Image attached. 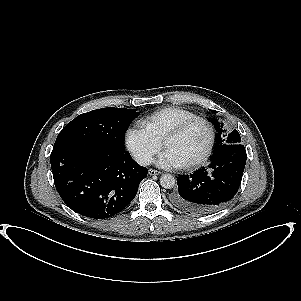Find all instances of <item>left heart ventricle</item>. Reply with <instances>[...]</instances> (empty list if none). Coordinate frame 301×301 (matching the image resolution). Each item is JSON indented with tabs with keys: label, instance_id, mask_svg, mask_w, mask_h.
Returning a JSON list of instances; mask_svg holds the SVG:
<instances>
[{
	"label": "left heart ventricle",
	"instance_id": "left-heart-ventricle-1",
	"mask_svg": "<svg viewBox=\"0 0 301 301\" xmlns=\"http://www.w3.org/2000/svg\"><path fill=\"white\" fill-rule=\"evenodd\" d=\"M208 141V132L204 124L194 123L184 132L170 139L166 149L171 150L186 163L197 158L205 149Z\"/></svg>",
	"mask_w": 301,
	"mask_h": 301
}]
</instances>
